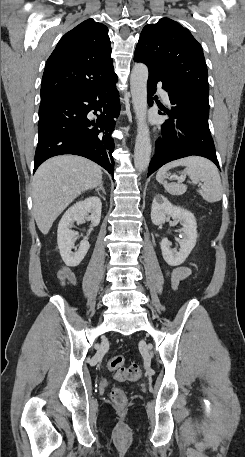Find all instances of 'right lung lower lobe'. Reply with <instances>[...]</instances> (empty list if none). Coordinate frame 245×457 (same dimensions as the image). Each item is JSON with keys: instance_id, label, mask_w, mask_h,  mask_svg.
<instances>
[{"instance_id": "1", "label": "right lung lower lobe", "mask_w": 245, "mask_h": 457, "mask_svg": "<svg viewBox=\"0 0 245 457\" xmlns=\"http://www.w3.org/2000/svg\"><path fill=\"white\" fill-rule=\"evenodd\" d=\"M116 82L117 76L41 102L34 172L50 157L75 154L93 160L114 175L111 135L120 110ZM92 110L94 114L101 112L93 120L87 118Z\"/></svg>"}]
</instances>
